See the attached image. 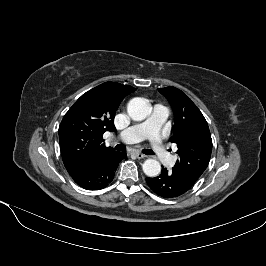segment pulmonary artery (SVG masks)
<instances>
[{"mask_svg": "<svg viewBox=\"0 0 266 266\" xmlns=\"http://www.w3.org/2000/svg\"><path fill=\"white\" fill-rule=\"evenodd\" d=\"M168 117V110L162 105L153 107L150 117L143 123L133 125L123 130L118 139L124 143H136L148 138L151 141V149L158 159L167 166L175 162V158L170 155L159 140L158 133Z\"/></svg>", "mask_w": 266, "mask_h": 266, "instance_id": "obj_1", "label": "pulmonary artery"}]
</instances>
